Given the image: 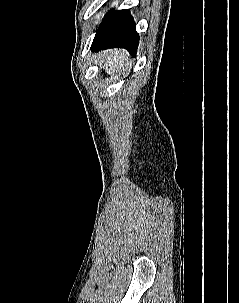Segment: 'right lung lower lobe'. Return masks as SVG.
Listing matches in <instances>:
<instances>
[{"mask_svg":"<svg viewBox=\"0 0 239 303\" xmlns=\"http://www.w3.org/2000/svg\"><path fill=\"white\" fill-rule=\"evenodd\" d=\"M139 36L135 30V22L128 10L107 13L92 43V50L107 48H125L135 55Z\"/></svg>","mask_w":239,"mask_h":303,"instance_id":"1","label":"right lung lower lobe"}]
</instances>
